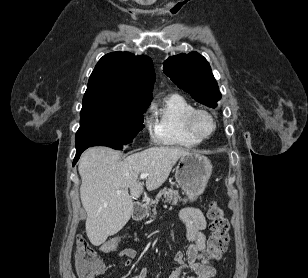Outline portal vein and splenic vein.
<instances>
[{
  "mask_svg": "<svg viewBox=\"0 0 308 278\" xmlns=\"http://www.w3.org/2000/svg\"><path fill=\"white\" fill-rule=\"evenodd\" d=\"M148 177V173H141L140 174V179H146ZM122 193V191L121 190H118L117 191V194H121Z\"/></svg>",
  "mask_w": 308,
  "mask_h": 278,
  "instance_id": "portal-vein-and-splenic-vein-1",
  "label": "portal vein and splenic vein"
}]
</instances>
